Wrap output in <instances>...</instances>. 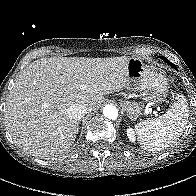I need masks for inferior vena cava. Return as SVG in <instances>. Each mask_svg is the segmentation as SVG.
Returning <instances> with one entry per match:
<instances>
[{
	"label": "inferior vena cava",
	"mask_w": 196,
	"mask_h": 196,
	"mask_svg": "<svg viewBox=\"0 0 196 196\" xmlns=\"http://www.w3.org/2000/svg\"><path fill=\"white\" fill-rule=\"evenodd\" d=\"M87 111L88 108L86 105L75 103L68 108V115L75 120H80Z\"/></svg>",
	"instance_id": "1"
}]
</instances>
